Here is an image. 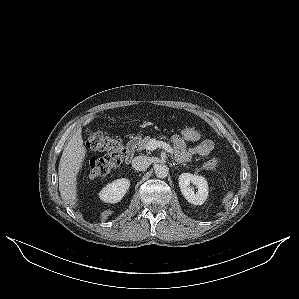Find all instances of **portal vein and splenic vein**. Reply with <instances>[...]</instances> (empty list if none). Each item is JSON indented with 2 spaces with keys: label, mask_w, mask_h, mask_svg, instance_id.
I'll use <instances>...</instances> for the list:
<instances>
[{
  "label": "portal vein and splenic vein",
  "mask_w": 299,
  "mask_h": 299,
  "mask_svg": "<svg viewBox=\"0 0 299 299\" xmlns=\"http://www.w3.org/2000/svg\"><path fill=\"white\" fill-rule=\"evenodd\" d=\"M158 147L159 148H163L167 152L173 154V149H172V147L169 144H167V143H165L163 141H158V140H152V141H150L148 143L146 149L153 151V150L157 149Z\"/></svg>",
  "instance_id": "1"
}]
</instances>
